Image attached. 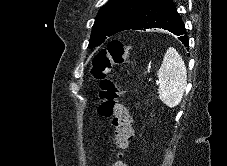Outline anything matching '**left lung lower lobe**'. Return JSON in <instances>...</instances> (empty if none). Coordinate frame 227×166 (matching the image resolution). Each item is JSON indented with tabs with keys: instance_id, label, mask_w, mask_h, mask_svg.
I'll list each match as a JSON object with an SVG mask.
<instances>
[{
	"instance_id": "left-lung-lower-lobe-1",
	"label": "left lung lower lobe",
	"mask_w": 227,
	"mask_h": 166,
	"mask_svg": "<svg viewBox=\"0 0 227 166\" xmlns=\"http://www.w3.org/2000/svg\"><path fill=\"white\" fill-rule=\"evenodd\" d=\"M151 28L168 30L179 36V40L186 47H189L184 23L172 0H147L130 29L146 30Z\"/></svg>"
}]
</instances>
